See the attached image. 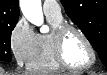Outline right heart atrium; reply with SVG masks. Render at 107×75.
I'll return each instance as SVG.
<instances>
[{
	"label": "right heart atrium",
	"instance_id": "d8ad5b80",
	"mask_svg": "<svg viewBox=\"0 0 107 75\" xmlns=\"http://www.w3.org/2000/svg\"><path fill=\"white\" fill-rule=\"evenodd\" d=\"M37 34L26 19L21 18L10 34V50L18 66L27 65L34 50Z\"/></svg>",
	"mask_w": 107,
	"mask_h": 75
}]
</instances>
